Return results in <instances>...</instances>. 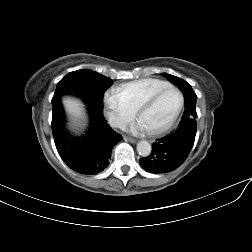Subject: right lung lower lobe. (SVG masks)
<instances>
[{
	"instance_id": "1",
	"label": "right lung lower lobe",
	"mask_w": 252,
	"mask_h": 252,
	"mask_svg": "<svg viewBox=\"0 0 252 252\" xmlns=\"http://www.w3.org/2000/svg\"><path fill=\"white\" fill-rule=\"evenodd\" d=\"M52 107V133L62 160L80 174L94 175L103 171L109 165L112 149L122 136L108 126L102 109L88 106L91 117L89 130L84 136L74 138L65 130L61 103Z\"/></svg>"
}]
</instances>
